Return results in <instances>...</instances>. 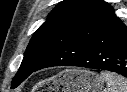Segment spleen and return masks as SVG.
I'll use <instances>...</instances> for the list:
<instances>
[{
  "mask_svg": "<svg viewBox=\"0 0 127 92\" xmlns=\"http://www.w3.org/2000/svg\"><path fill=\"white\" fill-rule=\"evenodd\" d=\"M100 79L106 83L102 92H127V79L111 72H101Z\"/></svg>",
  "mask_w": 127,
  "mask_h": 92,
  "instance_id": "obj_1",
  "label": "spleen"
}]
</instances>
